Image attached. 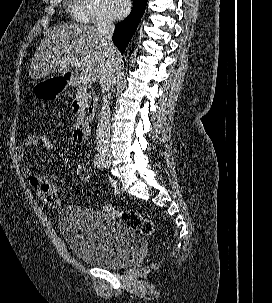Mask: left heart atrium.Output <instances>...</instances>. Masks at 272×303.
<instances>
[{"label":"left heart atrium","instance_id":"obj_1","mask_svg":"<svg viewBox=\"0 0 272 303\" xmlns=\"http://www.w3.org/2000/svg\"><path fill=\"white\" fill-rule=\"evenodd\" d=\"M109 8L115 18H123L130 11V0H108Z\"/></svg>","mask_w":272,"mask_h":303}]
</instances>
